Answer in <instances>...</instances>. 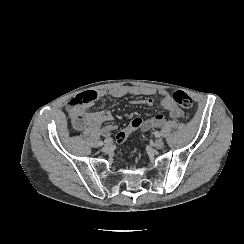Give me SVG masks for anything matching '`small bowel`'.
<instances>
[{"instance_id":"small-bowel-1","label":"small bowel","mask_w":244,"mask_h":244,"mask_svg":"<svg viewBox=\"0 0 244 244\" xmlns=\"http://www.w3.org/2000/svg\"><path fill=\"white\" fill-rule=\"evenodd\" d=\"M96 93V92H95ZM97 97H113V98H121L124 96H148L145 99L135 100V103L152 106L154 104V99L151 96L158 95L160 97V105L164 110L167 111L171 118H182L184 117V111L179 108L172 100L170 94L166 90H157L154 88L147 87H136V86H119L113 87L110 89H103L98 91ZM89 105L82 106L81 108L86 113V118L88 121L87 128L97 129L102 124H106L103 127V132L111 133L116 130V125L110 123L112 120V115L109 111H96L89 112L87 111ZM165 119L162 115H155L151 118L145 119L143 124L137 129H141L144 131H148L154 128L161 126L164 123Z\"/></svg>"}]
</instances>
